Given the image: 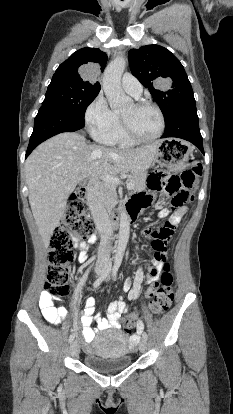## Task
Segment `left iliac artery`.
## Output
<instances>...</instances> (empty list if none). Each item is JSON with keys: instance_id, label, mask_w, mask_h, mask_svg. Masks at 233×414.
Returning a JSON list of instances; mask_svg holds the SVG:
<instances>
[{"instance_id": "1", "label": "left iliac artery", "mask_w": 233, "mask_h": 414, "mask_svg": "<svg viewBox=\"0 0 233 414\" xmlns=\"http://www.w3.org/2000/svg\"><path fill=\"white\" fill-rule=\"evenodd\" d=\"M120 262H117V263H115V265H114V268H113V270H112V276H113V278L116 280V278H117V272H118V269H119V267H120ZM138 326L139 327H142L143 328V324L141 323V324H138ZM142 332V331H141ZM142 336H143V338L144 339H148V335H147V333L146 332H143V334H142Z\"/></svg>"}]
</instances>
